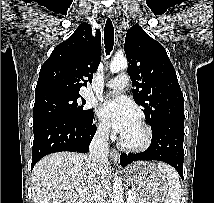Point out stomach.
<instances>
[{
  "instance_id": "1",
  "label": "stomach",
  "mask_w": 214,
  "mask_h": 203,
  "mask_svg": "<svg viewBox=\"0 0 214 203\" xmlns=\"http://www.w3.org/2000/svg\"><path fill=\"white\" fill-rule=\"evenodd\" d=\"M126 179L135 193V203H162L169 184L166 175L153 163L136 162L126 170Z\"/></svg>"
}]
</instances>
